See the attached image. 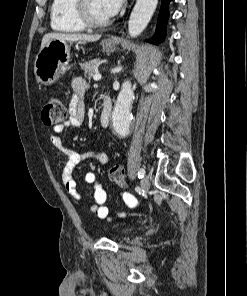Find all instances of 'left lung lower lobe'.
Listing matches in <instances>:
<instances>
[{"mask_svg":"<svg viewBox=\"0 0 247 296\" xmlns=\"http://www.w3.org/2000/svg\"><path fill=\"white\" fill-rule=\"evenodd\" d=\"M170 1L171 0H162L161 2V8L157 20L156 33L154 37L151 40H149L154 44L161 42L166 35V25L169 17L168 4Z\"/></svg>","mask_w":247,"mask_h":296,"instance_id":"1","label":"left lung lower lobe"}]
</instances>
